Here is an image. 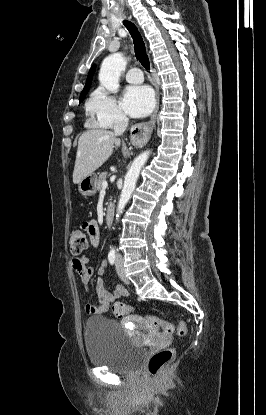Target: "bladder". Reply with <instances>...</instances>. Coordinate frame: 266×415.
<instances>
[{
	"label": "bladder",
	"instance_id": "1",
	"mask_svg": "<svg viewBox=\"0 0 266 415\" xmlns=\"http://www.w3.org/2000/svg\"><path fill=\"white\" fill-rule=\"evenodd\" d=\"M84 342L92 365L116 373L138 371L146 355V349L134 343L120 323L103 316L86 320Z\"/></svg>",
	"mask_w": 266,
	"mask_h": 415
}]
</instances>
